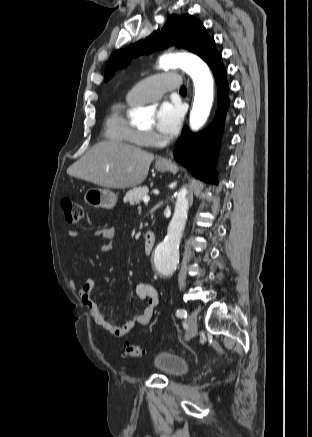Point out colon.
<instances>
[{
	"mask_svg": "<svg viewBox=\"0 0 312 437\" xmlns=\"http://www.w3.org/2000/svg\"><path fill=\"white\" fill-rule=\"evenodd\" d=\"M64 217L67 223L76 224L83 217V207L76 201L64 199L61 203ZM142 354V350L138 345L127 344L124 347V355L128 357H138Z\"/></svg>",
	"mask_w": 312,
	"mask_h": 437,
	"instance_id": "5ec220e1",
	"label": "colon"
}]
</instances>
